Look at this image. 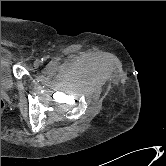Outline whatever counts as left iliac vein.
Segmentation results:
<instances>
[{
	"label": "left iliac vein",
	"mask_w": 166,
	"mask_h": 166,
	"mask_svg": "<svg viewBox=\"0 0 166 166\" xmlns=\"http://www.w3.org/2000/svg\"><path fill=\"white\" fill-rule=\"evenodd\" d=\"M41 63H42L41 60H39V59L35 60L34 67L35 68L39 67L41 65Z\"/></svg>",
	"instance_id": "4c4485c4"
}]
</instances>
